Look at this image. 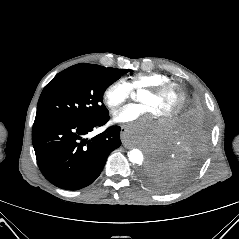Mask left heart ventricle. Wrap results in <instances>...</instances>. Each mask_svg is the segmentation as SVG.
<instances>
[{
	"mask_svg": "<svg viewBox=\"0 0 239 239\" xmlns=\"http://www.w3.org/2000/svg\"><path fill=\"white\" fill-rule=\"evenodd\" d=\"M139 101L149 106L156 117L163 116L171 111L177 104L178 96L174 91H168L163 95L155 96L148 92H142L139 95Z\"/></svg>",
	"mask_w": 239,
	"mask_h": 239,
	"instance_id": "left-heart-ventricle-1",
	"label": "left heart ventricle"
}]
</instances>
